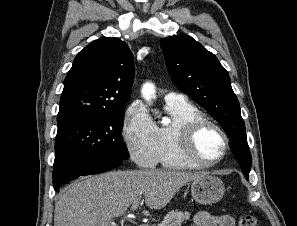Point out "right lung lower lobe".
<instances>
[{"label":"right lung lower lobe","instance_id":"obj_1","mask_svg":"<svg viewBox=\"0 0 297 226\" xmlns=\"http://www.w3.org/2000/svg\"><path fill=\"white\" fill-rule=\"evenodd\" d=\"M122 164V160L102 154H79L59 158L54 161L53 186L56 192L59 188L80 176L98 174L109 171Z\"/></svg>","mask_w":297,"mask_h":226}]
</instances>
